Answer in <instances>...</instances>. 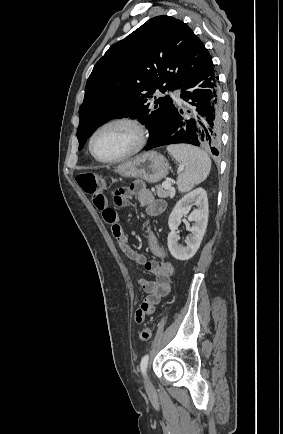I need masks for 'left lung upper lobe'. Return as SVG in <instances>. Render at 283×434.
<instances>
[{"instance_id": "1", "label": "left lung upper lobe", "mask_w": 283, "mask_h": 434, "mask_svg": "<svg viewBox=\"0 0 283 434\" xmlns=\"http://www.w3.org/2000/svg\"><path fill=\"white\" fill-rule=\"evenodd\" d=\"M211 63L209 51L184 22L166 15L148 20L95 64L79 109V150L100 125L124 116L139 117L150 131L149 144L155 142L175 109L169 96L157 99L155 90H180Z\"/></svg>"}]
</instances>
